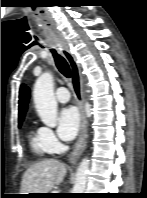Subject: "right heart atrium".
I'll use <instances>...</instances> for the list:
<instances>
[{
  "mask_svg": "<svg viewBox=\"0 0 147 198\" xmlns=\"http://www.w3.org/2000/svg\"><path fill=\"white\" fill-rule=\"evenodd\" d=\"M40 130H41L42 140L47 150L50 153L56 152L59 148L60 143L54 131L51 128L45 126L41 127Z\"/></svg>",
  "mask_w": 147,
  "mask_h": 198,
  "instance_id": "right-heart-atrium-1",
  "label": "right heart atrium"
}]
</instances>
